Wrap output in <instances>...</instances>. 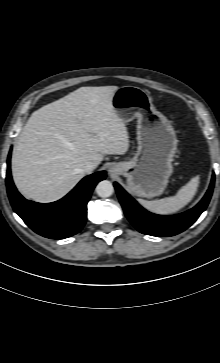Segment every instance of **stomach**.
<instances>
[{"instance_id": "stomach-1", "label": "stomach", "mask_w": 220, "mask_h": 363, "mask_svg": "<svg viewBox=\"0 0 220 363\" xmlns=\"http://www.w3.org/2000/svg\"><path fill=\"white\" fill-rule=\"evenodd\" d=\"M112 105L124 123L137 118L138 142L135 156L129 161L113 163L112 173L124 175L128 189L138 197L160 195L173 172L172 161L178 146L173 126L139 87L118 88Z\"/></svg>"}]
</instances>
